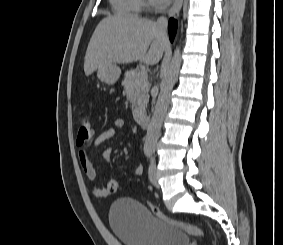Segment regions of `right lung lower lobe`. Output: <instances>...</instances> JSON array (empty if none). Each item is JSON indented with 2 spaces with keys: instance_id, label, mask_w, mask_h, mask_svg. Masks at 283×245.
Segmentation results:
<instances>
[{
  "instance_id": "98d812e1",
  "label": "right lung lower lobe",
  "mask_w": 283,
  "mask_h": 245,
  "mask_svg": "<svg viewBox=\"0 0 283 245\" xmlns=\"http://www.w3.org/2000/svg\"><path fill=\"white\" fill-rule=\"evenodd\" d=\"M168 30H169L170 40L172 41L174 36H175L176 30H177V21L176 20L170 19L169 24H168Z\"/></svg>"
}]
</instances>
